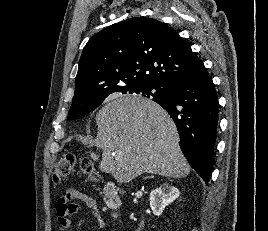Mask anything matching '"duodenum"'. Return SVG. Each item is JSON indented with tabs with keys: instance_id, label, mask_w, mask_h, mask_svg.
I'll return each instance as SVG.
<instances>
[{
	"instance_id": "1",
	"label": "duodenum",
	"mask_w": 268,
	"mask_h": 231,
	"mask_svg": "<svg viewBox=\"0 0 268 231\" xmlns=\"http://www.w3.org/2000/svg\"><path fill=\"white\" fill-rule=\"evenodd\" d=\"M105 193V202L108 208L116 211L120 207V197L113 189L111 185H107L104 189Z\"/></svg>"
}]
</instances>
